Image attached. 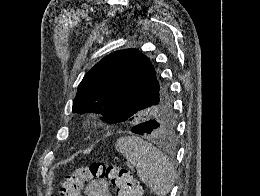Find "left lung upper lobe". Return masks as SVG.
Here are the masks:
<instances>
[{
	"mask_svg": "<svg viewBox=\"0 0 260 196\" xmlns=\"http://www.w3.org/2000/svg\"><path fill=\"white\" fill-rule=\"evenodd\" d=\"M119 106L135 109L126 121L129 127L151 120L152 139L168 145L177 141L169 88L152 61L137 49L116 51L98 62L79 84L73 112L102 114Z\"/></svg>",
	"mask_w": 260,
	"mask_h": 196,
	"instance_id": "1",
	"label": "left lung upper lobe"
}]
</instances>
